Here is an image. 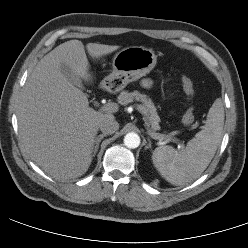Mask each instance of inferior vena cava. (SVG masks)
<instances>
[{"label":"inferior vena cava","mask_w":248,"mask_h":248,"mask_svg":"<svg viewBox=\"0 0 248 248\" xmlns=\"http://www.w3.org/2000/svg\"><path fill=\"white\" fill-rule=\"evenodd\" d=\"M100 130L104 134H113L119 129V123L114 118H105L99 124Z\"/></svg>","instance_id":"602c4592"}]
</instances>
